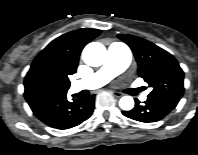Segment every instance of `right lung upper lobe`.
I'll use <instances>...</instances> for the list:
<instances>
[{
	"label": "right lung upper lobe",
	"instance_id": "cb5924a9",
	"mask_svg": "<svg viewBox=\"0 0 198 155\" xmlns=\"http://www.w3.org/2000/svg\"><path fill=\"white\" fill-rule=\"evenodd\" d=\"M100 32L87 28L75 30L56 38L42 50L25 76L26 101L66 93L70 87L68 76L76 72L82 49Z\"/></svg>",
	"mask_w": 198,
	"mask_h": 155
}]
</instances>
